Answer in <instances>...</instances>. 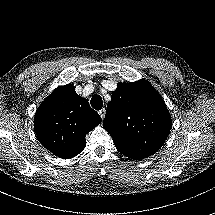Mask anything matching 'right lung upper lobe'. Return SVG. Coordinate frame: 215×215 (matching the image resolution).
<instances>
[{"label":"right lung upper lobe","instance_id":"1","mask_svg":"<svg viewBox=\"0 0 215 215\" xmlns=\"http://www.w3.org/2000/svg\"><path fill=\"white\" fill-rule=\"evenodd\" d=\"M101 123V117L72 84L59 86L39 106L34 130L40 143L54 155L69 159L86 145L85 136Z\"/></svg>","mask_w":215,"mask_h":215}]
</instances>
